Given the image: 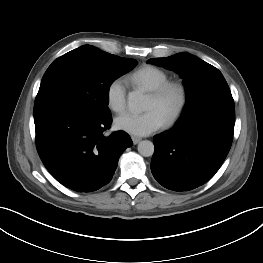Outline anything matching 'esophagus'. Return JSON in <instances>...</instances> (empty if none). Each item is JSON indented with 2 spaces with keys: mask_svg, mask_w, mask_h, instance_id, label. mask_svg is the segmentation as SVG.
Instances as JSON below:
<instances>
[{
  "mask_svg": "<svg viewBox=\"0 0 263 263\" xmlns=\"http://www.w3.org/2000/svg\"><path fill=\"white\" fill-rule=\"evenodd\" d=\"M132 141H133V144H138L141 141V138L132 136Z\"/></svg>",
  "mask_w": 263,
  "mask_h": 263,
  "instance_id": "obj_1",
  "label": "esophagus"
}]
</instances>
